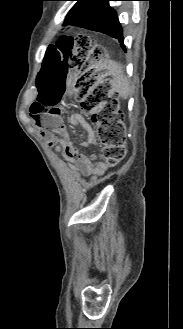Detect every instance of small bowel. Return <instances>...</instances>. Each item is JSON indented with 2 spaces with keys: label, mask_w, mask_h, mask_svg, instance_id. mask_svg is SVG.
<instances>
[{
  "label": "small bowel",
  "mask_w": 183,
  "mask_h": 329,
  "mask_svg": "<svg viewBox=\"0 0 183 329\" xmlns=\"http://www.w3.org/2000/svg\"><path fill=\"white\" fill-rule=\"evenodd\" d=\"M33 119L40 128H42L41 126L43 125H53L52 121L45 120L39 116H33ZM75 121L77 125H79L88 134L87 139L81 142V146L89 147L93 145L96 140L90 130L88 123L83 118H77ZM50 133H58L59 138L49 139L48 144L57 152L61 153L70 162V164L77 168L83 175L88 177H95L101 175L107 168V165L104 162L97 161V157L95 155L86 156L82 154L74 146V143L71 140L70 134L66 127H57L56 132Z\"/></svg>",
  "instance_id": "1"
}]
</instances>
